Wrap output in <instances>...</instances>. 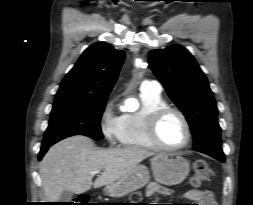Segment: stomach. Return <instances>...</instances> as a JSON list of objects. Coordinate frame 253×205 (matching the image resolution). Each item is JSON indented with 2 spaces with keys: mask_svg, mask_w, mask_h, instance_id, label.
Returning a JSON list of instances; mask_svg holds the SVG:
<instances>
[{
  "mask_svg": "<svg viewBox=\"0 0 253 205\" xmlns=\"http://www.w3.org/2000/svg\"><path fill=\"white\" fill-rule=\"evenodd\" d=\"M153 176L157 182L166 186L180 184L188 176L189 162L175 154H158L151 159ZM150 180L149 170L144 165H137L126 176L105 186V193L111 197H122L132 193Z\"/></svg>",
  "mask_w": 253,
  "mask_h": 205,
  "instance_id": "stomach-1",
  "label": "stomach"
}]
</instances>
